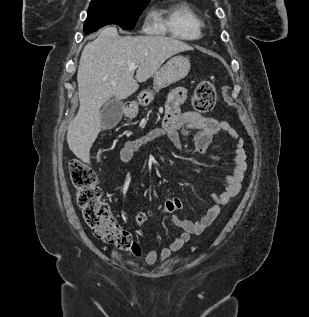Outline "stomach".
I'll return each mask as SVG.
<instances>
[{"instance_id": "1", "label": "stomach", "mask_w": 309, "mask_h": 317, "mask_svg": "<svg viewBox=\"0 0 309 317\" xmlns=\"http://www.w3.org/2000/svg\"><path fill=\"white\" fill-rule=\"evenodd\" d=\"M190 70V61L187 57L177 55L172 57L163 67H161L154 76V92L184 79ZM154 92L150 90L142 91L138 96V104L148 106L154 98ZM138 104L133 109L126 111V116L134 118L138 114Z\"/></svg>"}]
</instances>
